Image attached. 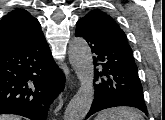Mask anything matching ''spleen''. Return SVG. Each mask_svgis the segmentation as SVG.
<instances>
[{
    "label": "spleen",
    "mask_w": 165,
    "mask_h": 120,
    "mask_svg": "<svg viewBox=\"0 0 165 120\" xmlns=\"http://www.w3.org/2000/svg\"><path fill=\"white\" fill-rule=\"evenodd\" d=\"M95 120H143V117L133 108L115 107L101 111Z\"/></svg>",
    "instance_id": "spleen-1"
}]
</instances>
